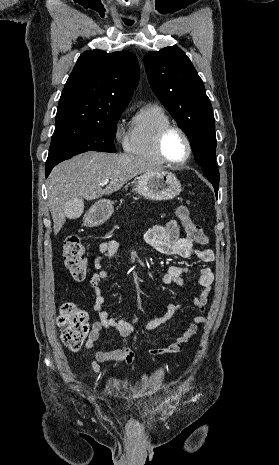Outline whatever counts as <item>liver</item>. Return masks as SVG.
Wrapping results in <instances>:
<instances>
[{
    "label": "liver",
    "mask_w": 279,
    "mask_h": 465,
    "mask_svg": "<svg viewBox=\"0 0 279 465\" xmlns=\"http://www.w3.org/2000/svg\"><path fill=\"white\" fill-rule=\"evenodd\" d=\"M159 171L143 157L89 151L64 161L53 168L47 179L48 206L57 235L63 227L71 199L88 201L110 195L137 175ZM109 184L102 188L104 180ZM83 201V200H82ZM84 209V202L83 208Z\"/></svg>",
    "instance_id": "liver-1"
}]
</instances>
